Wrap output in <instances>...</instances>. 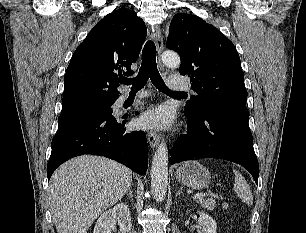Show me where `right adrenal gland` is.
I'll list each match as a JSON object with an SVG mask.
<instances>
[{
  "mask_svg": "<svg viewBox=\"0 0 306 233\" xmlns=\"http://www.w3.org/2000/svg\"><path fill=\"white\" fill-rule=\"evenodd\" d=\"M127 197H129L131 200H133V191H132V186H130L128 188V192H127Z\"/></svg>",
  "mask_w": 306,
  "mask_h": 233,
  "instance_id": "right-adrenal-gland-1",
  "label": "right adrenal gland"
}]
</instances>
